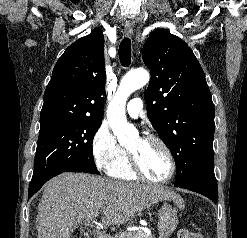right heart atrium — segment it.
<instances>
[{"label": "right heart atrium", "mask_w": 247, "mask_h": 238, "mask_svg": "<svg viewBox=\"0 0 247 238\" xmlns=\"http://www.w3.org/2000/svg\"><path fill=\"white\" fill-rule=\"evenodd\" d=\"M91 148L96 167L104 172H109L127 155L106 123L95 131Z\"/></svg>", "instance_id": "obj_1"}]
</instances>
